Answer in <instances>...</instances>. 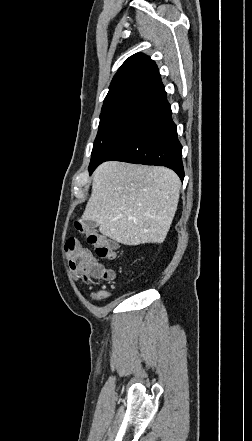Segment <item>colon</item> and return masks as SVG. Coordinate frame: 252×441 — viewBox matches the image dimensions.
<instances>
[{"mask_svg":"<svg viewBox=\"0 0 252 441\" xmlns=\"http://www.w3.org/2000/svg\"><path fill=\"white\" fill-rule=\"evenodd\" d=\"M75 228L85 235L87 243L93 248L96 255L104 259L115 258V245L104 235L88 228L81 222L75 223ZM69 267L73 275L86 284L96 280H112L115 272L100 266L93 258L92 253L79 241L68 240L65 245Z\"/></svg>","mask_w":252,"mask_h":441,"instance_id":"obj_1","label":"colon"}]
</instances>
